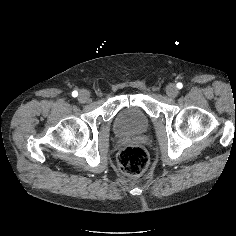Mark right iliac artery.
<instances>
[{"label": "right iliac artery", "mask_w": 236, "mask_h": 236, "mask_svg": "<svg viewBox=\"0 0 236 236\" xmlns=\"http://www.w3.org/2000/svg\"><path fill=\"white\" fill-rule=\"evenodd\" d=\"M72 96H73V97H77V96H78V92H77L76 90L73 91V92H72Z\"/></svg>", "instance_id": "right-iliac-artery-1"}]
</instances>
